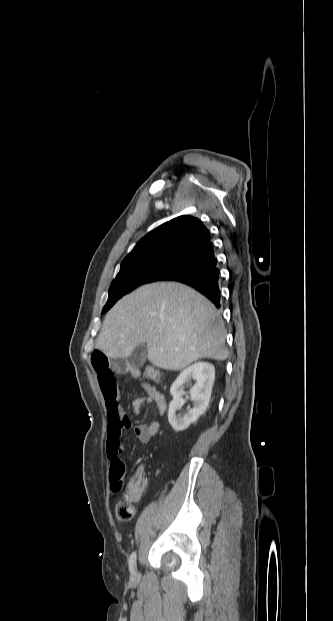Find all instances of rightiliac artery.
Segmentation results:
<instances>
[{
  "mask_svg": "<svg viewBox=\"0 0 333 621\" xmlns=\"http://www.w3.org/2000/svg\"><path fill=\"white\" fill-rule=\"evenodd\" d=\"M136 566V552H133L129 558V569L131 573L134 572Z\"/></svg>",
  "mask_w": 333,
  "mask_h": 621,
  "instance_id": "right-iliac-artery-1",
  "label": "right iliac artery"
}]
</instances>
